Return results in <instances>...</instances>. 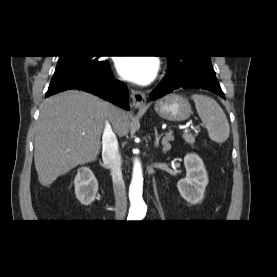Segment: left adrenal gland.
<instances>
[{
    "label": "left adrenal gland",
    "instance_id": "1",
    "mask_svg": "<svg viewBox=\"0 0 277 277\" xmlns=\"http://www.w3.org/2000/svg\"><path fill=\"white\" fill-rule=\"evenodd\" d=\"M163 135H158L157 129L155 128V147H159V141ZM170 135L166 134V136L163 138L162 145L164 146V149L167 150L168 147V141L170 140Z\"/></svg>",
    "mask_w": 277,
    "mask_h": 277
}]
</instances>
